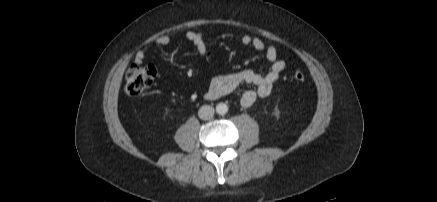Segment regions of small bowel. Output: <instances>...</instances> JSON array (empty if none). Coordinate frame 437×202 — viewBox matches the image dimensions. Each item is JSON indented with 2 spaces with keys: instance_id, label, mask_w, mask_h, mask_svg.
I'll return each mask as SVG.
<instances>
[{
  "instance_id": "c3829d8e",
  "label": "small bowel",
  "mask_w": 437,
  "mask_h": 202,
  "mask_svg": "<svg viewBox=\"0 0 437 202\" xmlns=\"http://www.w3.org/2000/svg\"><path fill=\"white\" fill-rule=\"evenodd\" d=\"M211 37V35L201 31H188L184 33V38L193 43L198 53L202 56L209 55L206 42ZM176 39L177 35L175 34L162 35L156 38L136 53L135 62L141 64L150 51L159 46L170 45ZM241 42L244 45L253 47L256 51L264 55L270 64L268 72L262 75L251 69H247L229 75H216L211 79L206 92L208 99L215 100L226 95L235 94L241 85H252L253 88L245 90L240 94L242 106L250 107L271 93L280 74L285 69L286 63L284 60L278 59V51L273 44H266L261 39L250 35H243Z\"/></svg>"
}]
</instances>
